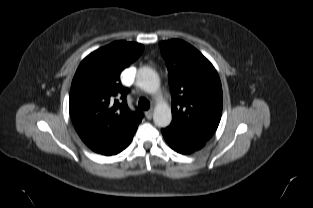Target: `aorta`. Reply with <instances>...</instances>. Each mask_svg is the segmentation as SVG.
I'll return each mask as SVG.
<instances>
[{
    "label": "aorta",
    "mask_w": 313,
    "mask_h": 208,
    "mask_svg": "<svg viewBox=\"0 0 313 208\" xmlns=\"http://www.w3.org/2000/svg\"><path fill=\"white\" fill-rule=\"evenodd\" d=\"M137 85L145 92L154 93L159 89V76L149 67L140 68L137 77ZM172 120L171 109L167 104H158L154 110L153 121L158 127H167Z\"/></svg>",
    "instance_id": "obj_1"
}]
</instances>
